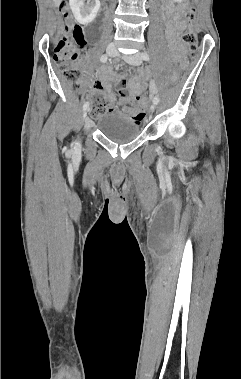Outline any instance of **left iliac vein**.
Returning <instances> with one entry per match:
<instances>
[{
  "instance_id": "4c4485c4",
  "label": "left iliac vein",
  "mask_w": 241,
  "mask_h": 379,
  "mask_svg": "<svg viewBox=\"0 0 241 379\" xmlns=\"http://www.w3.org/2000/svg\"><path fill=\"white\" fill-rule=\"evenodd\" d=\"M122 58L131 65L138 66L142 63V57L140 53H135L131 55H123ZM150 110L152 112L155 110V103L151 105Z\"/></svg>"
}]
</instances>
